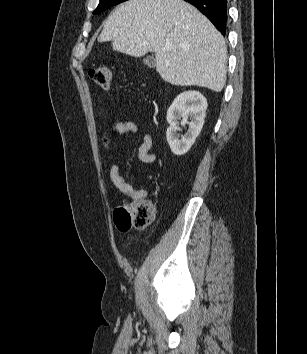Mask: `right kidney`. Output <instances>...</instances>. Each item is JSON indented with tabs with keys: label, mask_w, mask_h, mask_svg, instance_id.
<instances>
[{
	"label": "right kidney",
	"mask_w": 307,
	"mask_h": 354,
	"mask_svg": "<svg viewBox=\"0 0 307 354\" xmlns=\"http://www.w3.org/2000/svg\"><path fill=\"white\" fill-rule=\"evenodd\" d=\"M206 109L207 100L199 91H185L174 99L167 111L166 118L170 126L167 129L166 137L171 151L175 155H184L194 144L202 130ZM181 118V124H187L189 128L179 139L177 131Z\"/></svg>",
	"instance_id": "obj_1"
}]
</instances>
